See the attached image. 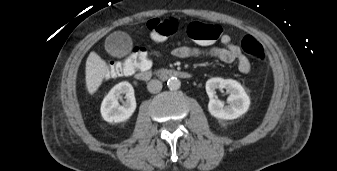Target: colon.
I'll return each mask as SVG.
<instances>
[{"mask_svg": "<svg viewBox=\"0 0 337 171\" xmlns=\"http://www.w3.org/2000/svg\"><path fill=\"white\" fill-rule=\"evenodd\" d=\"M147 28L150 33V41L155 45H161L168 37L178 31L179 23L175 17L154 18L148 22ZM221 33L220 26L199 21L191 22L187 28L188 37L200 44H210L216 41ZM241 47L256 62L263 63L265 61L264 48L252 35H245L242 38ZM149 66L150 60L147 51L136 46L130 50L125 58L113 61L108 66L106 75L108 77L130 76Z\"/></svg>", "mask_w": 337, "mask_h": 171, "instance_id": "colon-1", "label": "colon"}]
</instances>
